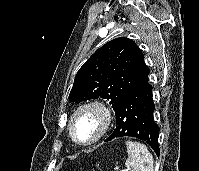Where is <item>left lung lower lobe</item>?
Returning a JSON list of instances; mask_svg holds the SVG:
<instances>
[{"label": "left lung lower lobe", "mask_w": 199, "mask_h": 171, "mask_svg": "<svg viewBox=\"0 0 199 171\" xmlns=\"http://www.w3.org/2000/svg\"><path fill=\"white\" fill-rule=\"evenodd\" d=\"M150 72V71H149ZM149 73L125 96L115 110L116 129L105 141L131 136L146 141L159 156V127L154 121L155 105Z\"/></svg>", "instance_id": "1"}]
</instances>
